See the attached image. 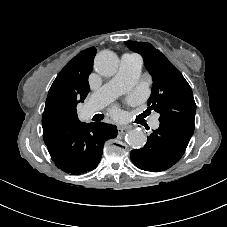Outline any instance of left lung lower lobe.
Returning <instances> with one entry per match:
<instances>
[{"instance_id":"left-lung-lower-lobe-1","label":"left lung lower lobe","mask_w":227,"mask_h":227,"mask_svg":"<svg viewBox=\"0 0 227 227\" xmlns=\"http://www.w3.org/2000/svg\"><path fill=\"white\" fill-rule=\"evenodd\" d=\"M193 132L182 125L160 121L159 128L148 137L146 145L131 151V160L139 169L164 171L180 160Z\"/></svg>"}]
</instances>
